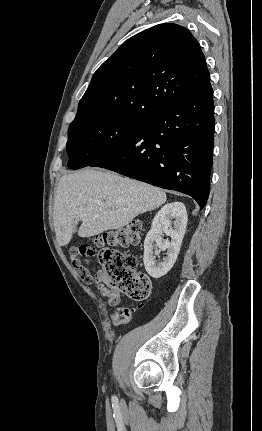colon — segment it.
Instances as JSON below:
<instances>
[{
  "label": "colon",
  "instance_id": "1",
  "mask_svg": "<svg viewBox=\"0 0 262 431\" xmlns=\"http://www.w3.org/2000/svg\"><path fill=\"white\" fill-rule=\"evenodd\" d=\"M139 232L140 225L132 223L97 236L90 244L72 247L70 254L76 272L80 276L88 274V269L83 261H88L98 250L101 266L100 280L113 289L125 292L132 300H146L150 294L151 284L149 278L137 270L138 259L116 250V247H128L138 243ZM129 316V309L118 310L113 316V322L115 325H121L128 321Z\"/></svg>",
  "mask_w": 262,
  "mask_h": 431
}]
</instances>
